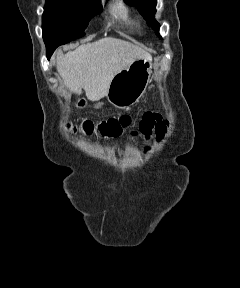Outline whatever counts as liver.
I'll list each match as a JSON object with an SVG mask.
<instances>
[{"label":"liver","mask_w":240,"mask_h":288,"mask_svg":"<svg viewBox=\"0 0 240 288\" xmlns=\"http://www.w3.org/2000/svg\"><path fill=\"white\" fill-rule=\"evenodd\" d=\"M136 59L152 57L130 42L105 37L66 54L58 50L56 66L71 92L80 94L83 88L89 100L98 101L107 95L113 77Z\"/></svg>","instance_id":"1"}]
</instances>
